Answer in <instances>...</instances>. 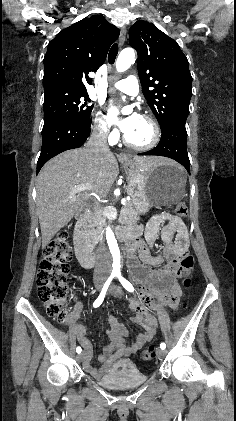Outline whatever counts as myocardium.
<instances>
[{"instance_id":"myocardium-1","label":"myocardium","mask_w":236,"mask_h":421,"mask_svg":"<svg viewBox=\"0 0 236 421\" xmlns=\"http://www.w3.org/2000/svg\"><path fill=\"white\" fill-rule=\"evenodd\" d=\"M139 117L143 118L145 121H147L150 124V126L152 128V131H153V137H152L151 141L147 144H144V145L134 144V143H132L128 140V138L125 134L123 136V142L127 147H129L131 149H134V150H137V151L152 150L160 142V139H161L160 127H159L158 123L152 117H150L148 115L141 114Z\"/></svg>"}]
</instances>
